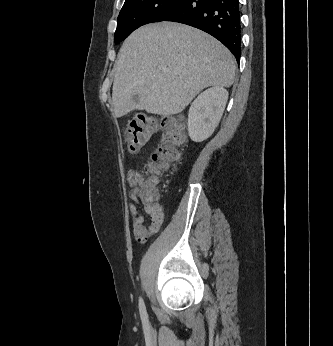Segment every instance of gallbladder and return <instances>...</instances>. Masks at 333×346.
<instances>
[{"instance_id": "1", "label": "gallbladder", "mask_w": 333, "mask_h": 346, "mask_svg": "<svg viewBox=\"0 0 333 346\" xmlns=\"http://www.w3.org/2000/svg\"><path fill=\"white\" fill-rule=\"evenodd\" d=\"M132 100L137 102L139 100V95H133Z\"/></svg>"}]
</instances>
